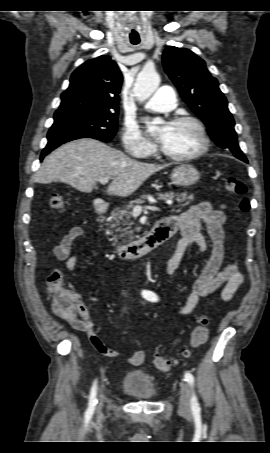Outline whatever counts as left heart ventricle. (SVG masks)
<instances>
[{"mask_svg":"<svg viewBox=\"0 0 270 453\" xmlns=\"http://www.w3.org/2000/svg\"><path fill=\"white\" fill-rule=\"evenodd\" d=\"M200 144V137L195 127L182 123L169 125L168 137L161 147L168 154L185 155L198 150Z\"/></svg>","mask_w":270,"mask_h":453,"instance_id":"obj_1","label":"left heart ventricle"}]
</instances>
